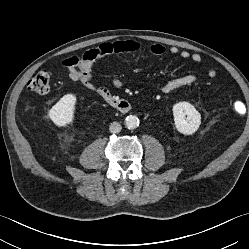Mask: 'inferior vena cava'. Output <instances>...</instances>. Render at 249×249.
I'll list each match as a JSON object with an SVG mask.
<instances>
[{
	"instance_id": "1",
	"label": "inferior vena cava",
	"mask_w": 249,
	"mask_h": 249,
	"mask_svg": "<svg viewBox=\"0 0 249 249\" xmlns=\"http://www.w3.org/2000/svg\"><path fill=\"white\" fill-rule=\"evenodd\" d=\"M122 129V126L119 122H112L109 126L111 133H119Z\"/></svg>"
}]
</instances>
